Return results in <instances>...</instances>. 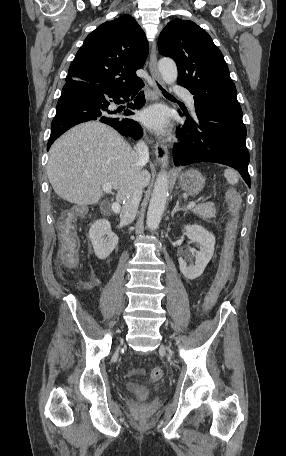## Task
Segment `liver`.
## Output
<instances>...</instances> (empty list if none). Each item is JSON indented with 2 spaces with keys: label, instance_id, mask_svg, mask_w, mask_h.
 Masks as SVG:
<instances>
[{
  "label": "liver",
  "instance_id": "6515ba94",
  "mask_svg": "<svg viewBox=\"0 0 286 456\" xmlns=\"http://www.w3.org/2000/svg\"><path fill=\"white\" fill-rule=\"evenodd\" d=\"M48 179L55 193L70 203L93 205L102 197L101 186L110 183L123 202L135 179L142 188L150 180L138 165V155L113 128L100 122L80 124L62 135L50 148Z\"/></svg>",
  "mask_w": 286,
  "mask_h": 456
}]
</instances>
